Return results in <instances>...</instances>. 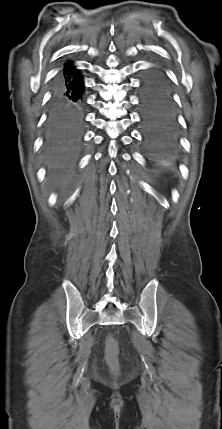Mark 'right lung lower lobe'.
I'll use <instances>...</instances> for the list:
<instances>
[{
  "label": "right lung lower lobe",
  "mask_w": 222,
  "mask_h": 429,
  "mask_svg": "<svg viewBox=\"0 0 222 429\" xmlns=\"http://www.w3.org/2000/svg\"><path fill=\"white\" fill-rule=\"evenodd\" d=\"M84 84L69 62L55 76L51 87L48 125L66 135H76L83 125Z\"/></svg>",
  "instance_id": "98d812e1"
}]
</instances>
